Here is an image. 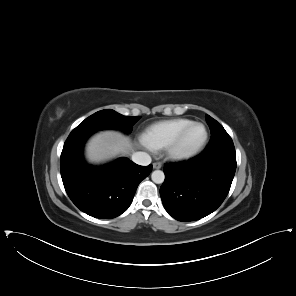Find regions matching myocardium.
Returning <instances> with one entry per match:
<instances>
[{"label": "myocardium", "instance_id": "1", "mask_svg": "<svg viewBox=\"0 0 296 296\" xmlns=\"http://www.w3.org/2000/svg\"><path fill=\"white\" fill-rule=\"evenodd\" d=\"M193 126H201L203 128V138L200 142V144L193 150L187 151V152H181L178 150V145L185 135V133ZM208 140V130L206 126L197 121H192L188 125H186L184 128H182L175 136L174 138L166 145L165 147V155L169 160L172 161H186L193 159L197 155L201 153V151L204 149L206 142Z\"/></svg>", "mask_w": 296, "mask_h": 296}]
</instances>
